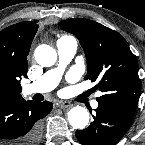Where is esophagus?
<instances>
[{
  "label": "esophagus",
  "instance_id": "34e87169",
  "mask_svg": "<svg viewBox=\"0 0 145 145\" xmlns=\"http://www.w3.org/2000/svg\"><path fill=\"white\" fill-rule=\"evenodd\" d=\"M71 106H72L71 103L68 102V101H60L58 103V107L61 108V109L69 108Z\"/></svg>",
  "mask_w": 145,
  "mask_h": 145
}]
</instances>
